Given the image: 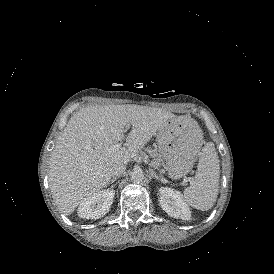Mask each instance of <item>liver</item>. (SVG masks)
Wrapping results in <instances>:
<instances>
[{
	"instance_id": "6515ba94",
	"label": "liver",
	"mask_w": 274,
	"mask_h": 274,
	"mask_svg": "<svg viewBox=\"0 0 274 274\" xmlns=\"http://www.w3.org/2000/svg\"><path fill=\"white\" fill-rule=\"evenodd\" d=\"M193 119L135 104L90 105L68 121L51 155L49 186L58 208L70 215L85 198L106 187L116 165L127 164L156 135ZM170 122V123H169ZM132 130L126 136V126ZM126 140L114 152L112 145Z\"/></svg>"
}]
</instances>
